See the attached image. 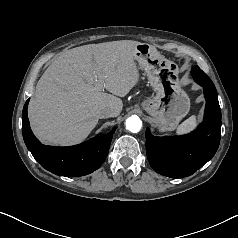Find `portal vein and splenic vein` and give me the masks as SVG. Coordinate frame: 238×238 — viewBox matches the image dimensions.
<instances>
[{
	"label": "portal vein and splenic vein",
	"mask_w": 238,
	"mask_h": 238,
	"mask_svg": "<svg viewBox=\"0 0 238 238\" xmlns=\"http://www.w3.org/2000/svg\"><path fill=\"white\" fill-rule=\"evenodd\" d=\"M98 88H99V89H102V88H103V85L99 83V84H98Z\"/></svg>",
	"instance_id": "obj_1"
}]
</instances>
